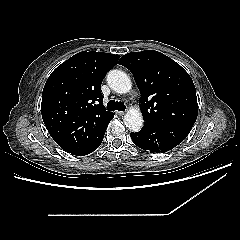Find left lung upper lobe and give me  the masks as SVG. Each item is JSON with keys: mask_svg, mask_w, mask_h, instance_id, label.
Here are the masks:
<instances>
[{"mask_svg": "<svg viewBox=\"0 0 240 240\" xmlns=\"http://www.w3.org/2000/svg\"><path fill=\"white\" fill-rule=\"evenodd\" d=\"M119 64L135 78L144 124L194 125L198 114L196 89L178 63L160 52L146 50L123 55Z\"/></svg>", "mask_w": 240, "mask_h": 240, "instance_id": "5c2ea615", "label": "left lung upper lobe"}]
</instances>
